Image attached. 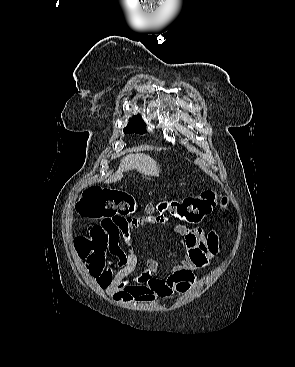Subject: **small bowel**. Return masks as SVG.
<instances>
[{
    "label": "small bowel",
    "mask_w": 295,
    "mask_h": 367,
    "mask_svg": "<svg viewBox=\"0 0 295 367\" xmlns=\"http://www.w3.org/2000/svg\"><path fill=\"white\" fill-rule=\"evenodd\" d=\"M158 218V219H157ZM172 218L168 213H156L155 217L121 218L101 222L105 234L106 247L117 259L116 268L104 267L94 275L98 286L116 303H145L157 298L169 300L177 293H185L197 283L194 272L210 265L218 252L213 236H207L202 228H192L179 223L175 232L182 237L185 257L174 265L165 279L154 277L160 269L158 261L152 257L144 260V271L130 278L138 264V257L130 243V232L143 224L161 225ZM121 241L126 245L122 248Z\"/></svg>",
    "instance_id": "obj_1"
}]
</instances>
